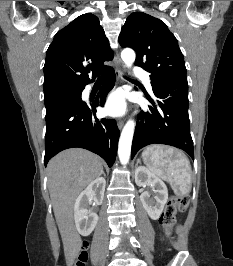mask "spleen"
<instances>
[{"label": "spleen", "mask_w": 233, "mask_h": 266, "mask_svg": "<svg viewBox=\"0 0 233 266\" xmlns=\"http://www.w3.org/2000/svg\"><path fill=\"white\" fill-rule=\"evenodd\" d=\"M142 158L149 171L167 181L174 193L187 195L191 190V165L180 151L163 145L148 146Z\"/></svg>", "instance_id": "3e777b00"}]
</instances>
